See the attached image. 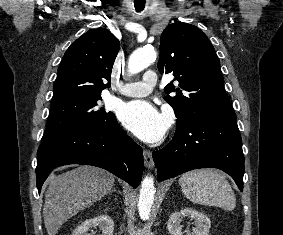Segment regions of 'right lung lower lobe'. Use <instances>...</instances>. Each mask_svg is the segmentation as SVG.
<instances>
[{"instance_id":"obj_1","label":"right lung lower lobe","mask_w":283,"mask_h":235,"mask_svg":"<svg viewBox=\"0 0 283 235\" xmlns=\"http://www.w3.org/2000/svg\"><path fill=\"white\" fill-rule=\"evenodd\" d=\"M68 164L106 169L134 188L141 182L144 167L142 148L120 128L115 116L93 130L41 144L36 167L38 191L55 167Z\"/></svg>"}]
</instances>
